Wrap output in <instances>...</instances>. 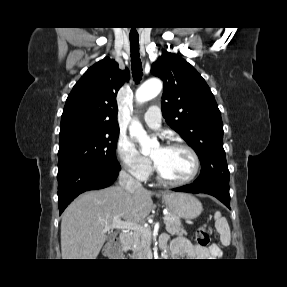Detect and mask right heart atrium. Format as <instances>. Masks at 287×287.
Segmentation results:
<instances>
[{
	"mask_svg": "<svg viewBox=\"0 0 287 287\" xmlns=\"http://www.w3.org/2000/svg\"><path fill=\"white\" fill-rule=\"evenodd\" d=\"M116 154L123 168L138 180L148 179L152 172L151 160L142 155L133 142L126 137H119Z\"/></svg>",
	"mask_w": 287,
	"mask_h": 287,
	"instance_id": "1",
	"label": "right heart atrium"
}]
</instances>
